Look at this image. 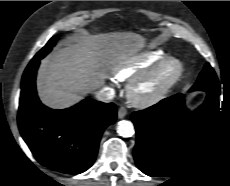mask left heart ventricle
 Listing matches in <instances>:
<instances>
[{
  "instance_id": "left-heart-ventricle-1",
  "label": "left heart ventricle",
  "mask_w": 230,
  "mask_h": 186,
  "mask_svg": "<svg viewBox=\"0 0 230 186\" xmlns=\"http://www.w3.org/2000/svg\"><path fill=\"white\" fill-rule=\"evenodd\" d=\"M171 72L170 68H166L163 70L157 77L152 79L151 81L145 83L141 88L140 92L143 94L149 93L156 89L160 83L168 76V74Z\"/></svg>"
}]
</instances>
